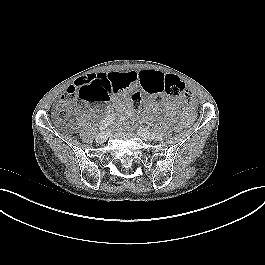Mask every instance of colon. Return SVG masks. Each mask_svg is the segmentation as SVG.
<instances>
[{"label": "colon", "instance_id": "colon-1", "mask_svg": "<svg viewBox=\"0 0 265 265\" xmlns=\"http://www.w3.org/2000/svg\"><path fill=\"white\" fill-rule=\"evenodd\" d=\"M111 92L109 85L101 78L79 79L75 85L71 86L63 95L57 113L58 119L62 122L67 120V106L74 99L79 98L85 101H103L110 96ZM150 94L154 96L157 103L163 102V96L167 95L172 98L183 97L188 110H194L196 107V101L190 93L186 92L184 83L173 74L166 75L162 84L158 85ZM131 100L134 107L138 108L143 102V96L140 92H134L131 96ZM76 124V120L71 121L72 127Z\"/></svg>", "mask_w": 265, "mask_h": 265}]
</instances>
